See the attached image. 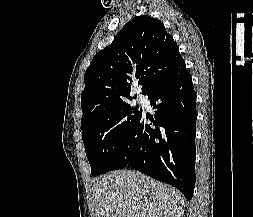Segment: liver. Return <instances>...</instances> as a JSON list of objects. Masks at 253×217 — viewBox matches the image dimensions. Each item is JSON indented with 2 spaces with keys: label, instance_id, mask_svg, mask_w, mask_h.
Returning <instances> with one entry per match:
<instances>
[{
  "label": "liver",
  "instance_id": "6515ba94",
  "mask_svg": "<svg viewBox=\"0 0 253 217\" xmlns=\"http://www.w3.org/2000/svg\"><path fill=\"white\" fill-rule=\"evenodd\" d=\"M184 197L173 187L132 170L93 180L95 217H182Z\"/></svg>",
  "mask_w": 253,
  "mask_h": 217
}]
</instances>
